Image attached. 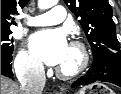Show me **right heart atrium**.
<instances>
[{
  "label": "right heart atrium",
  "mask_w": 121,
  "mask_h": 94,
  "mask_svg": "<svg viewBox=\"0 0 121 94\" xmlns=\"http://www.w3.org/2000/svg\"><path fill=\"white\" fill-rule=\"evenodd\" d=\"M14 68L20 78H37L43 74L41 63L26 50L19 51L15 58Z\"/></svg>",
  "instance_id": "1"
}]
</instances>
